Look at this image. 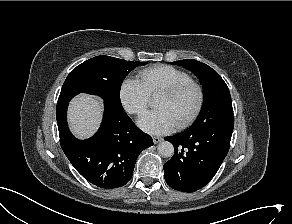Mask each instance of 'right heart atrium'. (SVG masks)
<instances>
[{"label": "right heart atrium", "instance_id": "right-heart-atrium-1", "mask_svg": "<svg viewBox=\"0 0 292 224\" xmlns=\"http://www.w3.org/2000/svg\"><path fill=\"white\" fill-rule=\"evenodd\" d=\"M119 97L126 112L133 115L142 114L151 100L142 83L136 79L123 81L120 86Z\"/></svg>", "mask_w": 292, "mask_h": 224}]
</instances>
